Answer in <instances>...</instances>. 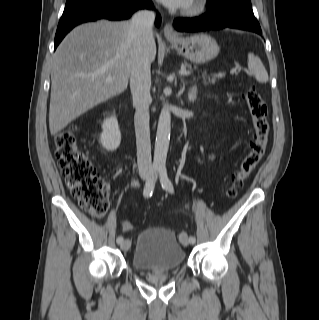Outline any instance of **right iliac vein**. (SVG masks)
Instances as JSON below:
<instances>
[{
  "mask_svg": "<svg viewBox=\"0 0 319 320\" xmlns=\"http://www.w3.org/2000/svg\"><path fill=\"white\" fill-rule=\"evenodd\" d=\"M131 246V242L129 239H126L124 240L121 245H120V248L123 250V251H127Z\"/></svg>",
  "mask_w": 319,
  "mask_h": 320,
  "instance_id": "1",
  "label": "right iliac vein"
}]
</instances>
